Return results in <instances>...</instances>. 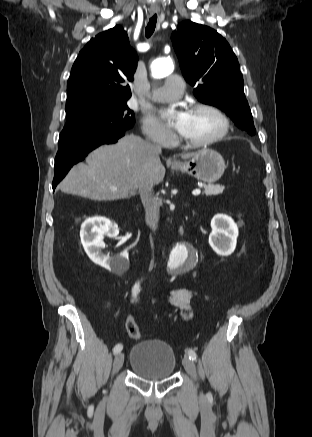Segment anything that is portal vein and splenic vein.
<instances>
[{
    "mask_svg": "<svg viewBox=\"0 0 312 437\" xmlns=\"http://www.w3.org/2000/svg\"><path fill=\"white\" fill-rule=\"evenodd\" d=\"M200 193H201V190H199V189H196V190H193V191H192V194H193L194 196H198Z\"/></svg>",
    "mask_w": 312,
    "mask_h": 437,
    "instance_id": "obj_1",
    "label": "portal vein and splenic vein"
}]
</instances>
